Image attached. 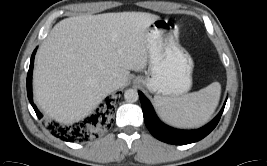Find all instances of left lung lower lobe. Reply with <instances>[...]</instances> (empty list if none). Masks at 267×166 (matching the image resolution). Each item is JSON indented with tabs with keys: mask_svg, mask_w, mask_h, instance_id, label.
Returning a JSON list of instances; mask_svg holds the SVG:
<instances>
[{
	"mask_svg": "<svg viewBox=\"0 0 267 166\" xmlns=\"http://www.w3.org/2000/svg\"><path fill=\"white\" fill-rule=\"evenodd\" d=\"M138 93L142 105L144 121L148 130L157 139L175 145L194 143L207 136L218 124L225 107L224 105L219 114L210 123L202 128L197 130H180L169 127L162 123L156 116V113L149 100L142 92L138 91Z\"/></svg>",
	"mask_w": 267,
	"mask_h": 166,
	"instance_id": "1",
	"label": "left lung lower lobe"
}]
</instances>
